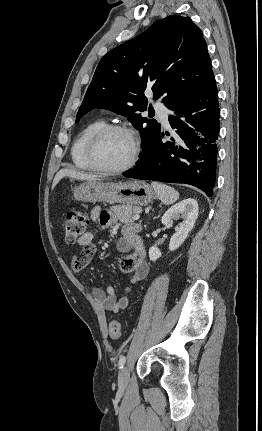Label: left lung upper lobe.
<instances>
[{
	"mask_svg": "<svg viewBox=\"0 0 262 431\" xmlns=\"http://www.w3.org/2000/svg\"><path fill=\"white\" fill-rule=\"evenodd\" d=\"M213 78L201 30L190 17L168 16L102 57L76 122L94 108L128 116L140 130L144 150L161 130L155 120L137 113L147 110L144 91L152 90L154 99L163 97L166 107L175 110Z\"/></svg>",
	"mask_w": 262,
	"mask_h": 431,
	"instance_id": "obj_1",
	"label": "left lung upper lobe"
}]
</instances>
